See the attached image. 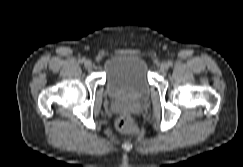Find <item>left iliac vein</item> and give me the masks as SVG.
<instances>
[{
  "instance_id": "left-iliac-vein-1",
  "label": "left iliac vein",
  "mask_w": 243,
  "mask_h": 167,
  "mask_svg": "<svg viewBox=\"0 0 243 167\" xmlns=\"http://www.w3.org/2000/svg\"><path fill=\"white\" fill-rule=\"evenodd\" d=\"M168 68H169L168 63H166V62L161 63V65H160V70H161L162 72H166V71L168 70Z\"/></svg>"
}]
</instances>
